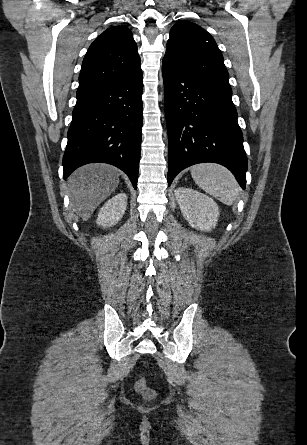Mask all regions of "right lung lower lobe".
<instances>
[{"label": "right lung lower lobe", "instance_id": "1", "mask_svg": "<svg viewBox=\"0 0 307 445\" xmlns=\"http://www.w3.org/2000/svg\"><path fill=\"white\" fill-rule=\"evenodd\" d=\"M142 70L108 83L79 88L63 157L64 179L92 162L123 170L137 188L141 149Z\"/></svg>", "mask_w": 307, "mask_h": 445}]
</instances>
